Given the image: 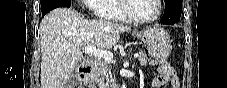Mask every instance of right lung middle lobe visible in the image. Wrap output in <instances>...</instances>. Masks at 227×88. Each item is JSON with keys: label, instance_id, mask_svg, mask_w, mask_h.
<instances>
[{"label": "right lung middle lobe", "instance_id": "1", "mask_svg": "<svg viewBox=\"0 0 227 88\" xmlns=\"http://www.w3.org/2000/svg\"><path fill=\"white\" fill-rule=\"evenodd\" d=\"M42 14H46L49 11L58 7H70L71 0H40Z\"/></svg>", "mask_w": 227, "mask_h": 88}]
</instances>
